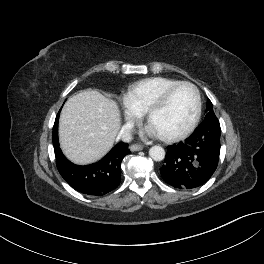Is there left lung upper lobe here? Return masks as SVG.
Wrapping results in <instances>:
<instances>
[{
    "instance_id": "5c2ea615",
    "label": "left lung upper lobe",
    "mask_w": 264,
    "mask_h": 264,
    "mask_svg": "<svg viewBox=\"0 0 264 264\" xmlns=\"http://www.w3.org/2000/svg\"><path fill=\"white\" fill-rule=\"evenodd\" d=\"M205 121L219 123L217 117L214 114L212 103L209 99L207 100V114L205 116Z\"/></svg>"
}]
</instances>
